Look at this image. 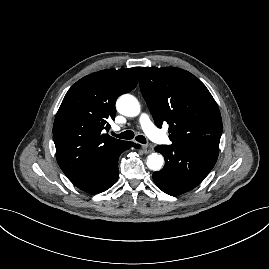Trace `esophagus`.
<instances>
[{"instance_id":"34e87169","label":"esophagus","mask_w":269,"mask_h":269,"mask_svg":"<svg viewBox=\"0 0 269 269\" xmlns=\"http://www.w3.org/2000/svg\"><path fill=\"white\" fill-rule=\"evenodd\" d=\"M142 149L146 154L153 152V147L151 144L142 145Z\"/></svg>"}]
</instances>
